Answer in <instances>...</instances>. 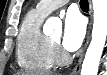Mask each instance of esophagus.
Returning <instances> with one entry per match:
<instances>
[{"mask_svg": "<svg viewBox=\"0 0 107 75\" xmlns=\"http://www.w3.org/2000/svg\"><path fill=\"white\" fill-rule=\"evenodd\" d=\"M90 9H91V4H90ZM91 24H92V16H90L89 30H88V33H87V40H86L85 48L87 47V45H88V43H89ZM82 59H83V54H82L81 57L79 58L76 66H75L74 69L71 71L70 75H78V73L80 72Z\"/></svg>", "mask_w": 107, "mask_h": 75, "instance_id": "1", "label": "esophagus"}]
</instances>
